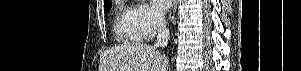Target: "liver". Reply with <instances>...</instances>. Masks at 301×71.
<instances>
[{"mask_svg":"<svg viewBox=\"0 0 301 71\" xmlns=\"http://www.w3.org/2000/svg\"><path fill=\"white\" fill-rule=\"evenodd\" d=\"M168 60L151 45L131 43L102 54V71H166Z\"/></svg>","mask_w":301,"mask_h":71,"instance_id":"obj_1","label":"liver"}]
</instances>
